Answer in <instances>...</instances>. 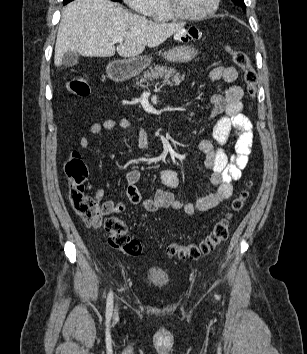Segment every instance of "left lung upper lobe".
Returning <instances> with one entry per match:
<instances>
[{"instance_id":"left-lung-upper-lobe-1","label":"left lung upper lobe","mask_w":307,"mask_h":354,"mask_svg":"<svg viewBox=\"0 0 307 354\" xmlns=\"http://www.w3.org/2000/svg\"><path fill=\"white\" fill-rule=\"evenodd\" d=\"M235 4L241 6L243 8V10L245 11L246 10V5L244 3L243 0H232Z\"/></svg>"}]
</instances>
